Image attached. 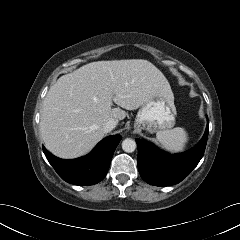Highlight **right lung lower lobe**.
<instances>
[{"instance_id": "1", "label": "right lung lower lobe", "mask_w": 240, "mask_h": 240, "mask_svg": "<svg viewBox=\"0 0 240 240\" xmlns=\"http://www.w3.org/2000/svg\"><path fill=\"white\" fill-rule=\"evenodd\" d=\"M120 141V135L108 136L100 141L91 153L73 160L57 158L48 152L44 146L43 152L64 181L79 186H88L104 179L113 153Z\"/></svg>"}]
</instances>
